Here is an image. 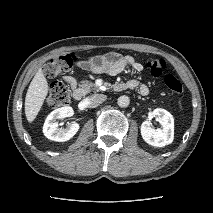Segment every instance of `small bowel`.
<instances>
[{"label": "small bowel", "mask_w": 213, "mask_h": 213, "mask_svg": "<svg viewBox=\"0 0 213 213\" xmlns=\"http://www.w3.org/2000/svg\"><path fill=\"white\" fill-rule=\"evenodd\" d=\"M77 67L96 74L105 73L110 76L118 75L127 69H130L139 74L143 69L142 64L136 61L132 56L116 53H108L105 55L93 56L88 59L81 60L77 62ZM64 80L73 90L77 89L78 81L76 77L67 75L64 77ZM122 84L128 85V89H134L138 87L140 94L143 96L148 95L149 93L148 86L141 84L139 78H135L127 82H122Z\"/></svg>", "instance_id": "1"}]
</instances>
